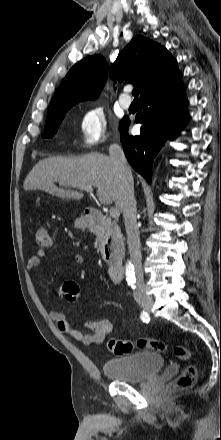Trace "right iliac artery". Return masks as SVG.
<instances>
[{
  "mask_svg": "<svg viewBox=\"0 0 221 440\" xmlns=\"http://www.w3.org/2000/svg\"><path fill=\"white\" fill-rule=\"evenodd\" d=\"M140 318H141V320L143 321V322H148L149 321V315H148V313L147 312H145V311H143V312H141V314H140Z\"/></svg>",
  "mask_w": 221,
  "mask_h": 440,
  "instance_id": "1",
  "label": "right iliac artery"
}]
</instances>
